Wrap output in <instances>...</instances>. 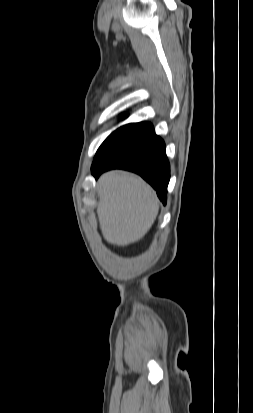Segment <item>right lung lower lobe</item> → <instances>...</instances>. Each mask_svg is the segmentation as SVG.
Wrapping results in <instances>:
<instances>
[{"label": "right lung lower lobe", "instance_id": "obj_1", "mask_svg": "<svg viewBox=\"0 0 253 413\" xmlns=\"http://www.w3.org/2000/svg\"><path fill=\"white\" fill-rule=\"evenodd\" d=\"M115 168L139 174L157 191L159 199L164 204L166 203L170 167L165 152V143L154 131L112 154L92 167L91 171L95 178H98L104 171Z\"/></svg>", "mask_w": 253, "mask_h": 413}]
</instances>
